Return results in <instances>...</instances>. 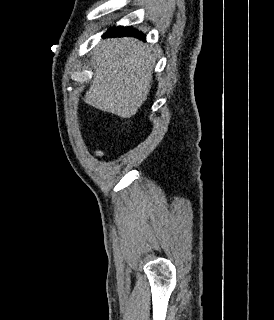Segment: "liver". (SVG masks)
Instances as JSON below:
<instances>
[{
    "label": "liver",
    "instance_id": "6515ba94",
    "mask_svg": "<svg viewBox=\"0 0 274 320\" xmlns=\"http://www.w3.org/2000/svg\"><path fill=\"white\" fill-rule=\"evenodd\" d=\"M154 66L150 48L140 40H101L95 48L93 80L83 100L102 112L131 118L150 94Z\"/></svg>",
    "mask_w": 274,
    "mask_h": 320
}]
</instances>
